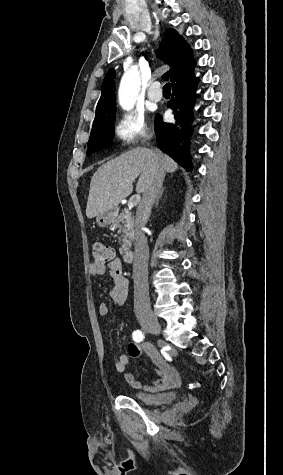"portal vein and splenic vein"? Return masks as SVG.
Instances as JSON below:
<instances>
[{"mask_svg": "<svg viewBox=\"0 0 283 475\" xmlns=\"http://www.w3.org/2000/svg\"><path fill=\"white\" fill-rule=\"evenodd\" d=\"M138 200H140V196L139 194H135V196H132L130 202H128V206H130V208H132V206H135L136 202H138Z\"/></svg>", "mask_w": 283, "mask_h": 475, "instance_id": "18ae733b", "label": "portal vein and splenic vein"}]
</instances>
